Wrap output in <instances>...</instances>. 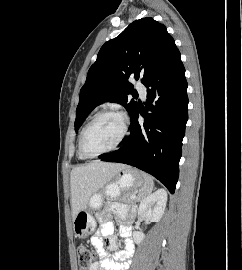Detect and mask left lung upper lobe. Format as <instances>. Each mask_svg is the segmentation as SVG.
Listing matches in <instances>:
<instances>
[{
    "label": "left lung upper lobe",
    "mask_w": 242,
    "mask_h": 270,
    "mask_svg": "<svg viewBox=\"0 0 242 270\" xmlns=\"http://www.w3.org/2000/svg\"><path fill=\"white\" fill-rule=\"evenodd\" d=\"M180 56L166 27L153 18L131 23L119 36L107 41L90 67L80 90L76 109L75 130L99 104L110 100L123 105L132 118L138 103L128 101L133 93L130 76L145 85L164 66Z\"/></svg>",
    "instance_id": "5c2ea615"
}]
</instances>
